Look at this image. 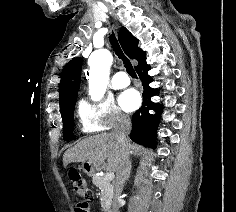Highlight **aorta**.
Masks as SVG:
<instances>
[{"label":"aorta","instance_id":"aorta-1","mask_svg":"<svg viewBox=\"0 0 236 212\" xmlns=\"http://www.w3.org/2000/svg\"><path fill=\"white\" fill-rule=\"evenodd\" d=\"M112 61V54L106 49L93 52L88 59L89 94L95 101L100 100L106 92Z\"/></svg>","mask_w":236,"mask_h":212}]
</instances>
